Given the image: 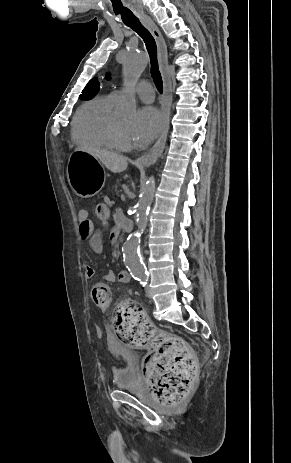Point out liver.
Masks as SVG:
<instances>
[{"label": "liver", "instance_id": "6515ba94", "mask_svg": "<svg viewBox=\"0 0 291 463\" xmlns=\"http://www.w3.org/2000/svg\"><path fill=\"white\" fill-rule=\"evenodd\" d=\"M75 151H85L98 159L105 167L113 173H119L126 170L128 166L127 158L117 153L93 149L87 147H78Z\"/></svg>", "mask_w": 291, "mask_h": 463}]
</instances>
